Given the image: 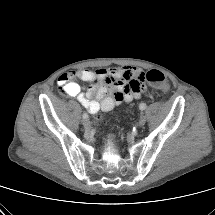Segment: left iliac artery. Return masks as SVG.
<instances>
[{"label":"left iliac artery","mask_w":215,"mask_h":215,"mask_svg":"<svg viewBox=\"0 0 215 215\" xmlns=\"http://www.w3.org/2000/svg\"><path fill=\"white\" fill-rule=\"evenodd\" d=\"M146 107H147V106H146L145 103H141V104L139 105L140 110H145Z\"/></svg>","instance_id":"44dca946"}]
</instances>
